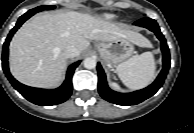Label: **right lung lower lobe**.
Returning a JSON list of instances; mask_svg holds the SVG:
<instances>
[{
  "label": "right lung lower lobe",
  "mask_w": 194,
  "mask_h": 133,
  "mask_svg": "<svg viewBox=\"0 0 194 133\" xmlns=\"http://www.w3.org/2000/svg\"><path fill=\"white\" fill-rule=\"evenodd\" d=\"M32 15L34 14L30 12H26L24 15H22L18 19L16 26L10 31L9 35L7 36V39L3 45L2 68L5 75L13 85V87L30 102L41 106H51V105L60 104L66 101L72 93V75L74 73L75 68L79 65L80 61L73 63L68 68L67 76L64 83L59 88L54 90H44V89L28 87L26 85L19 83L17 80H15L9 72V68H8L9 42L12 36L14 35V33L17 31V29Z\"/></svg>",
  "instance_id": "right-lung-lower-lobe-1"
}]
</instances>
